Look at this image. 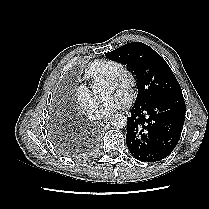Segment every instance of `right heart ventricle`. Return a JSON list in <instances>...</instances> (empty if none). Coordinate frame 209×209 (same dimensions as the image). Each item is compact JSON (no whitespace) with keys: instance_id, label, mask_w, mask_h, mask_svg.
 Instances as JSON below:
<instances>
[{"instance_id":"e07e8e85","label":"right heart ventricle","mask_w":209,"mask_h":209,"mask_svg":"<svg viewBox=\"0 0 209 209\" xmlns=\"http://www.w3.org/2000/svg\"><path fill=\"white\" fill-rule=\"evenodd\" d=\"M120 64L111 59H99L90 63L84 71V78L89 82L107 79Z\"/></svg>"}]
</instances>
